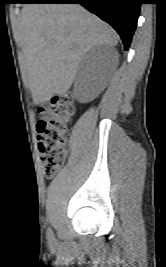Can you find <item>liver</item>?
Segmentation results:
<instances>
[{
  "instance_id": "liver-1",
  "label": "liver",
  "mask_w": 166,
  "mask_h": 267,
  "mask_svg": "<svg viewBox=\"0 0 166 267\" xmlns=\"http://www.w3.org/2000/svg\"><path fill=\"white\" fill-rule=\"evenodd\" d=\"M17 39L37 105L70 89L88 50L118 43L117 33L107 23L78 4L24 5Z\"/></svg>"
}]
</instances>
